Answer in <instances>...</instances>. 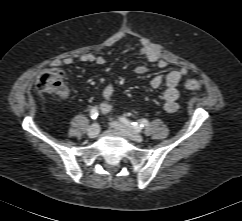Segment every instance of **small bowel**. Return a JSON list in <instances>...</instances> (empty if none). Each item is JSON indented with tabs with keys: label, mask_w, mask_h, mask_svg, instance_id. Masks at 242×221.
Masks as SVG:
<instances>
[{
	"label": "small bowel",
	"mask_w": 242,
	"mask_h": 221,
	"mask_svg": "<svg viewBox=\"0 0 242 221\" xmlns=\"http://www.w3.org/2000/svg\"><path fill=\"white\" fill-rule=\"evenodd\" d=\"M140 53L144 56L151 64V67L140 65L137 66L134 71L138 75H143L148 73L153 69H164L167 67L168 62L163 58L159 52L153 48L148 42L142 40L140 43ZM80 61L83 63H95L97 65L105 64V58L103 56H98L93 53H84L80 57ZM74 63V59L71 57H65L63 59H57L52 62L53 67H61L63 65L70 66ZM188 72L186 67H179L170 70L165 77L155 76L150 81V86L153 89L159 88L162 84H165V90L162 93V102L165 111L169 113H174L178 110V99L179 91L177 89L178 83L181 78ZM115 94L114 86L109 83L106 84L102 90V96L104 98L103 102L100 104V111L104 114L109 113L112 110V100Z\"/></svg>",
	"instance_id": "small-bowel-1"
}]
</instances>
